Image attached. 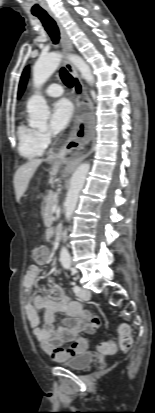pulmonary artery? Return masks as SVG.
Returning <instances> with one entry per match:
<instances>
[{"label":"pulmonary artery","mask_w":155,"mask_h":413,"mask_svg":"<svg viewBox=\"0 0 155 413\" xmlns=\"http://www.w3.org/2000/svg\"><path fill=\"white\" fill-rule=\"evenodd\" d=\"M45 94L50 97H58L63 94V88L57 83H51L46 89Z\"/></svg>","instance_id":"obj_1"}]
</instances>
